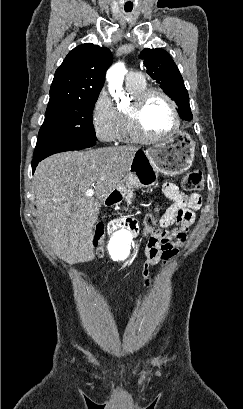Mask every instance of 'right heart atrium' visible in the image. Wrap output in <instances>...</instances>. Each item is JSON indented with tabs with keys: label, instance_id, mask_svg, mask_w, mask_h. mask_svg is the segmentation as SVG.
I'll return each mask as SVG.
<instances>
[{
	"label": "right heart atrium",
	"instance_id": "right-heart-atrium-1",
	"mask_svg": "<svg viewBox=\"0 0 243 409\" xmlns=\"http://www.w3.org/2000/svg\"><path fill=\"white\" fill-rule=\"evenodd\" d=\"M91 123L95 135L101 141L108 143L117 140L119 113L106 91H101L94 102Z\"/></svg>",
	"mask_w": 243,
	"mask_h": 409
}]
</instances>
